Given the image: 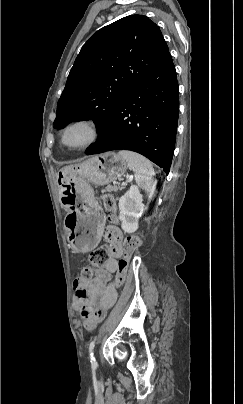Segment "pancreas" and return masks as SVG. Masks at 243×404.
I'll return each instance as SVG.
<instances>
[{
  "label": "pancreas",
  "instance_id": "1",
  "mask_svg": "<svg viewBox=\"0 0 243 404\" xmlns=\"http://www.w3.org/2000/svg\"><path fill=\"white\" fill-rule=\"evenodd\" d=\"M118 190H124V188H120V186H106L102 192H118Z\"/></svg>",
  "mask_w": 243,
  "mask_h": 404
}]
</instances>
